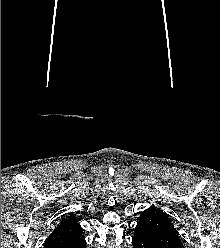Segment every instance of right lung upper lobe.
I'll use <instances>...</instances> for the list:
<instances>
[{"label": "right lung upper lobe", "instance_id": "right-lung-upper-lobe-1", "mask_svg": "<svg viewBox=\"0 0 220 248\" xmlns=\"http://www.w3.org/2000/svg\"><path fill=\"white\" fill-rule=\"evenodd\" d=\"M83 238L82 228L78 219L72 216L63 220L61 224L46 239L44 248H60L69 243Z\"/></svg>", "mask_w": 220, "mask_h": 248}]
</instances>
